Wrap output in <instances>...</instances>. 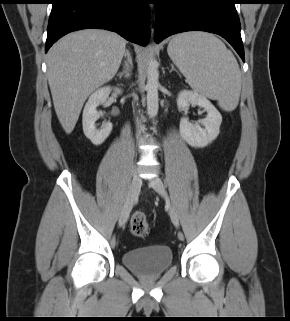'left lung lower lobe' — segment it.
Returning <instances> with one entry per match:
<instances>
[{
    "mask_svg": "<svg viewBox=\"0 0 290 321\" xmlns=\"http://www.w3.org/2000/svg\"><path fill=\"white\" fill-rule=\"evenodd\" d=\"M238 0H156L154 40L186 31L199 30L225 38L245 61L240 21L235 9Z\"/></svg>",
    "mask_w": 290,
    "mask_h": 321,
    "instance_id": "1",
    "label": "left lung lower lobe"
}]
</instances>
